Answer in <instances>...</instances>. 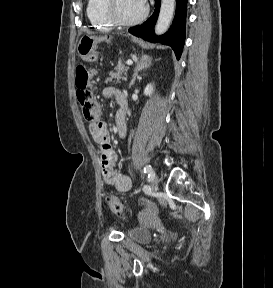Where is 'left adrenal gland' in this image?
<instances>
[{"instance_id":"a2214340","label":"left adrenal gland","mask_w":273,"mask_h":288,"mask_svg":"<svg viewBox=\"0 0 273 288\" xmlns=\"http://www.w3.org/2000/svg\"><path fill=\"white\" fill-rule=\"evenodd\" d=\"M151 58L149 57H144L142 58L140 61L137 62V65L134 69V74H133V78L131 80V83L129 85V88H131V86L135 83L136 78L138 77V72L142 71L144 69H147L148 67H150L152 65L151 62Z\"/></svg>"}]
</instances>
